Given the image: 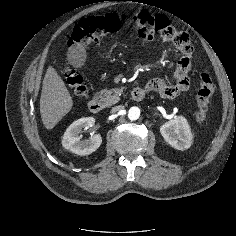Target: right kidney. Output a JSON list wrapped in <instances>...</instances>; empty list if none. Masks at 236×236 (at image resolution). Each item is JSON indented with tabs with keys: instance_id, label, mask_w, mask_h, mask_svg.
<instances>
[{
	"instance_id": "ca27d5eb",
	"label": "right kidney",
	"mask_w": 236,
	"mask_h": 236,
	"mask_svg": "<svg viewBox=\"0 0 236 236\" xmlns=\"http://www.w3.org/2000/svg\"><path fill=\"white\" fill-rule=\"evenodd\" d=\"M95 123L93 117H84L74 121L66 130L62 139V146L77 155H89L96 151L101 143L102 138L100 135H94L90 139L81 141L79 133L83 129H87Z\"/></svg>"
}]
</instances>
